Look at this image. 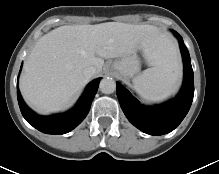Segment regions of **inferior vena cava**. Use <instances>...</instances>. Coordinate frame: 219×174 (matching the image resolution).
Here are the masks:
<instances>
[{
	"instance_id": "602c4592",
	"label": "inferior vena cava",
	"mask_w": 219,
	"mask_h": 174,
	"mask_svg": "<svg viewBox=\"0 0 219 174\" xmlns=\"http://www.w3.org/2000/svg\"><path fill=\"white\" fill-rule=\"evenodd\" d=\"M96 73V68L94 66H88L83 70V74L87 79L93 77Z\"/></svg>"
}]
</instances>
